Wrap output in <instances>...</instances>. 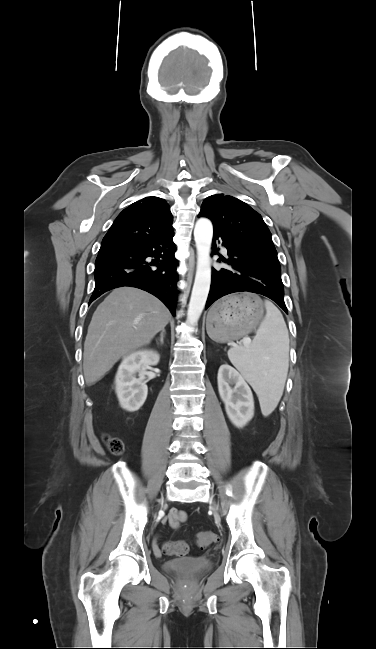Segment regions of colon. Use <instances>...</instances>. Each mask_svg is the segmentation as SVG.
<instances>
[{"mask_svg":"<svg viewBox=\"0 0 376 649\" xmlns=\"http://www.w3.org/2000/svg\"><path fill=\"white\" fill-rule=\"evenodd\" d=\"M104 441L112 454L120 455L123 453L124 444L120 438L105 435ZM213 540L214 535L209 531H201L196 535V543L201 549L208 547ZM164 549L170 554L182 555L187 551V545L183 542H170L165 544Z\"/></svg>","mask_w":376,"mask_h":649,"instance_id":"5ec220e1","label":"colon"}]
</instances>
